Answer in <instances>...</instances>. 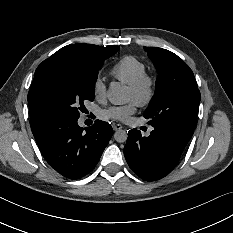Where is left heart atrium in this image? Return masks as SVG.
<instances>
[{"label": "left heart atrium", "instance_id": "39dd6f15", "mask_svg": "<svg viewBox=\"0 0 233 233\" xmlns=\"http://www.w3.org/2000/svg\"><path fill=\"white\" fill-rule=\"evenodd\" d=\"M139 102L136 99H132L128 104L119 107H112L108 110L101 112L103 118H111L119 121H126L132 114L135 113Z\"/></svg>", "mask_w": 233, "mask_h": 233}]
</instances>
